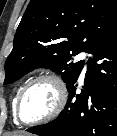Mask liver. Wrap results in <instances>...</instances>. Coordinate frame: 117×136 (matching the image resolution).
I'll return each mask as SVG.
<instances>
[{"label": "liver", "mask_w": 117, "mask_h": 136, "mask_svg": "<svg viewBox=\"0 0 117 136\" xmlns=\"http://www.w3.org/2000/svg\"><path fill=\"white\" fill-rule=\"evenodd\" d=\"M9 136H31L30 134H27L25 132H17V133H13Z\"/></svg>", "instance_id": "6515ba94"}]
</instances>
